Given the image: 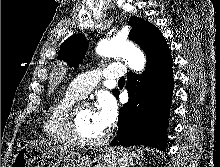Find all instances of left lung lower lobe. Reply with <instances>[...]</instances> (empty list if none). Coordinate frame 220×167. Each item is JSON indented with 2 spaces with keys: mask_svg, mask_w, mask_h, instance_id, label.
Here are the masks:
<instances>
[{
  "mask_svg": "<svg viewBox=\"0 0 220 167\" xmlns=\"http://www.w3.org/2000/svg\"><path fill=\"white\" fill-rule=\"evenodd\" d=\"M127 91L129 100L119 110V128L111 146L147 145L164 150L173 94L170 50L147 57L142 75L130 72Z\"/></svg>",
  "mask_w": 220,
  "mask_h": 167,
  "instance_id": "1",
  "label": "left lung lower lobe"
}]
</instances>
